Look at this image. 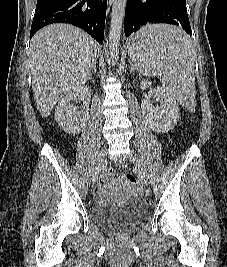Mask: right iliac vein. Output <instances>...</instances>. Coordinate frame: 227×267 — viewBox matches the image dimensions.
<instances>
[{
  "label": "right iliac vein",
  "instance_id": "1",
  "mask_svg": "<svg viewBox=\"0 0 227 267\" xmlns=\"http://www.w3.org/2000/svg\"><path fill=\"white\" fill-rule=\"evenodd\" d=\"M105 160H106V150L102 149L97 157L95 169L93 172V177H92L93 183H96L98 181L99 174L105 165Z\"/></svg>",
  "mask_w": 227,
  "mask_h": 267
}]
</instances>
